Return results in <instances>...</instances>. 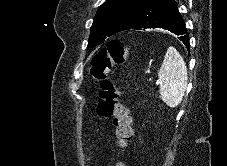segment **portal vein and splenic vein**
<instances>
[{"label":"portal vein and splenic vein","mask_w":227,"mask_h":166,"mask_svg":"<svg viewBox=\"0 0 227 166\" xmlns=\"http://www.w3.org/2000/svg\"><path fill=\"white\" fill-rule=\"evenodd\" d=\"M155 84H156V85H159V81H157Z\"/></svg>","instance_id":"portal-vein-and-splenic-vein-1"}]
</instances>
